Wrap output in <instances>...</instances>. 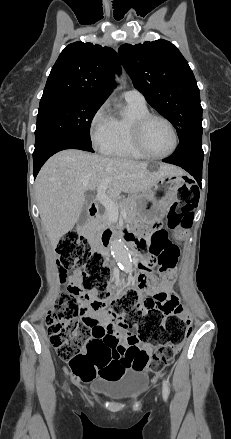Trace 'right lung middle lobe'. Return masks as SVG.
I'll list each match as a JSON object with an SVG mask.
<instances>
[{"mask_svg": "<svg viewBox=\"0 0 231 439\" xmlns=\"http://www.w3.org/2000/svg\"><path fill=\"white\" fill-rule=\"evenodd\" d=\"M102 104L103 102L82 98L40 102L34 151L41 150L60 137L73 138L91 146V121Z\"/></svg>", "mask_w": 231, "mask_h": 439, "instance_id": "dd1d6c3e", "label": "right lung middle lobe"}]
</instances>
